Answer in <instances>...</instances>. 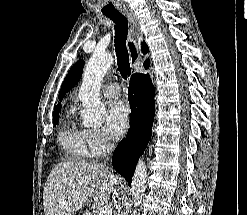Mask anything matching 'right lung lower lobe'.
<instances>
[{"label":"right lung lower lobe","instance_id":"98d812e1","mask_svg":"<svg viewBox=\"0 0 247 215\" xmlns=\"http://www.w3.org/2000/svg\"><path fill=\"white\" fill-rule=\"evenodd\" d=\"M149 64H144L145 69H148ZM128 100L131 108L130 128L115 149L112 164L130 186L138 158L143 154L152 134L154 86L148 74L135 73L131 76Z\"/></svg>","mask_w":247,"mask_h":215}]
</instances>
